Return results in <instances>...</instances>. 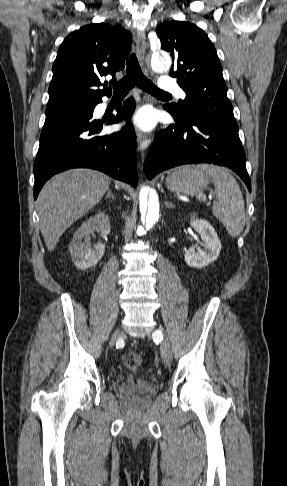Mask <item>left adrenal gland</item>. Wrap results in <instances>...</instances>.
<instances>
[{
  "label": "left adrenal gland",
  "instance_id": "1",
  "mask_svg": "<svg viewBox=\"0 0 287 486\" xmlns=\"http://www.w3.org/2000/svg\"><path fill=\"white\" fill-rule=\"evenodd\" d=\"M165 207L170 209V208H174V207H175V205H174V204H172L171 202H168V201H167V202H165Z\"/></svg>",
  "mask_w": 287,
  "mask_h": 486
}]
</instances>
